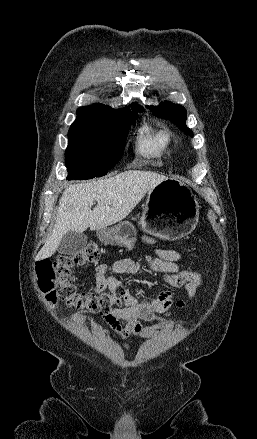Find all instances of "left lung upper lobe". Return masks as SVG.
I'll return each instance as SVG.
<instances>
[{"instance_id":"obj_1","label":"left lung upper lobe","mask_w":257,"mask_h":439,"mask_svg":"<svg viewBox=\"0 0 257 439\" xmlns=\"http://www.w3.org/2000/svg\"><path fill=\"white\" fill-rule=\"evenodd\" d=\"M155 116L171 120L186 134L193 137V132L186 126V110L181 105L171 104L167 101L156 106H146Z\"/></svg>"}]
</instances>
